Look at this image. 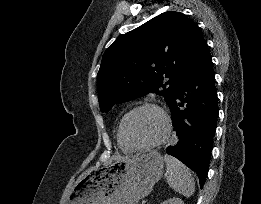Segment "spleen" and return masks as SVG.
Returning <instances> with one entry per match:
<instances>
[{
	"label": "spleen",
	"mask_w": 261,
	"mask_h": 204,
	"mask_svg": "<svg viewBox=\"0 0 261 204\" xmlns=\"http://www.w3.org/2000/svg\"><path fill=\"white\" fill-rule=\"evenodd\" d=\"M164 160L168 185L183 196L191 197L195 192V182L189 169L170 155H165Z\"/></svg>",
	"instance_id": "obj_1"
}]
</instances>
